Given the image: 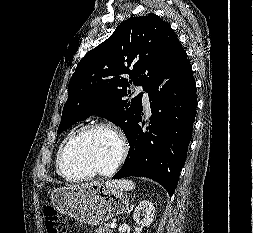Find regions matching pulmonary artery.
<instances>
[{"mask_svg":"<svg viewBox=\"0 0 253 233\" xmlns=\"http://www.w3.org/2000/svg\"><path fill=\"white\" fill-rule=\"evenodd\" d=\"M136 93H139L142 95V101L146 109H149V95L148 92L144 89L143 86H137L135 88Z\"/></svg>","mask_w":253,"mask_h":233,"instance_id":"obj_1","label":"pulmonary artery"}]
</instances>
